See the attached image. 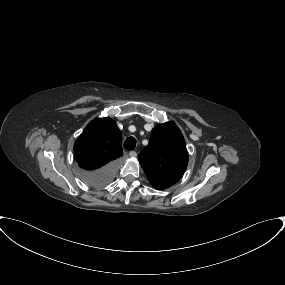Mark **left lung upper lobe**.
<instances>
[{
  "instance_id": "5c2ea615",
  "label": "left lung upper lobe",
  "mask_w": 285,
  "mask_h": 285,
  "mask_svg": "<svg viewBox=\"0 0 285 285\" xmlns=\"http://www.w3.org/2000/svg\"><path fill=\"white\" fill-rule=\"evenodd\" d=\"M138 159L154 188L166 189L174 185L188 164L186 144L180 129L172 122L156 126Z\"/></svg>"
}]
</instances>
